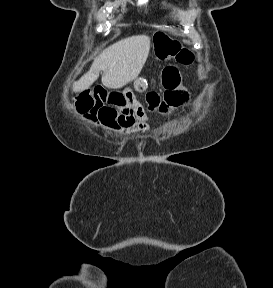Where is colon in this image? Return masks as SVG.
Returning a JSON list of instances; mask_svg holds the SVG:
<instances>
[{
  "label": "colon",
  "instance_id": "1",
  "mask_svg": "<svg viewBox=\"0 0 273 288\" xmlns=\"http://www.w3.org/2000/svg\"><path fill=\"white\" fill-rule=\"evenodd\" d=\"M155 50L162 60H174L184 65L193 61L189 49L164 34L156 36ZM161 78L164 92L148 93L147 106L151 112L172 115L188 104L190 95L182 85L181 74L175 66L165 67ZM76 109L86 119L114 129L131 127L137 120V108L132 107L122 93L102 86L81 94L77 98Z\"/></svg>",
  "mask_w": 273,
  "mask_h": 288
}]
</instances>
